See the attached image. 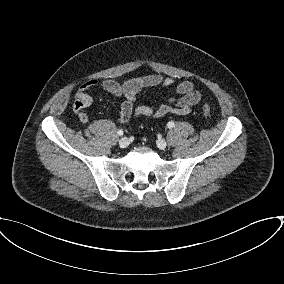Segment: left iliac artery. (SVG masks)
Returning <instances> with one entry per match:
<instances>
[{"mask_svg":"<svg viewBox=\"0 0 284 284\" xmlns=\"http://www.w3.org/2000/svg\"><path fill=\"white\" fill-rule=\"evenodd\" d=\"M174 125H175L174 122L170 121V122H168L167 127L172 128V127H174Z\"/></svg>","mask_w":284,"mask_h":284,"instance_id":"left-iliac-artery-1","label":"left iliac artery"}]
</instances>
